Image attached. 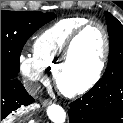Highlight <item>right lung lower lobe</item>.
I'll list each match as a JSON object with an SVG mask.
<instances>
[{
    "label": "right lung lower lobe",
    "instance_id": "1",
    "mask_svg": "<svg viewBox=\"0 0 123 123\" xmlns=\"http://www.w3.org/2000/svg\"><path fill=\"white\" fill-rule=\"evenodd\" d=\"M32 102L34 99L17 78H1V121L19 107L27 106Z\"/></svg>",
    "mask_w": 123,
    "mask_h": 123
}]
</instances>
